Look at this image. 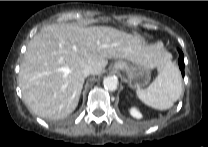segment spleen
<instances>
[{"instance_id": "obj_1", "label": "spleen", "mask_w": 208, "mask_h": 147, "mask_svg": "<svg viewBox=\"0 0 208 147\" xmlns=\"http://www.w3.org/2000/svg\"><path fill=\"white\" fill-rule=\"evenodd\" d=\"M183 91L181 73L175 63L166 60L147 89H137L138 98L147 106L166 110L173 106Z\"/></svg>"}]
</instances>
